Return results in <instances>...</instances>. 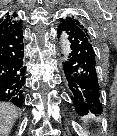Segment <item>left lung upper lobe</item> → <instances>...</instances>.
<instances>
[{
  "label": "left lung upper lobe",
  "instance_id": "5c2ea615",
  "mask_svg": "<svg viewBox=\"0 0 117 136\" xmlns=\"http://www.w3.org/2000/svg\"><path fill=\"white\" fill-rule=\"evenodd\" d=\"M67 20H68L69 23H71L72 25L81 28L82 30H84L86 33H88V34L90 35V33H89L88 29H87V26L85 25V23H84L82 20H80V19H78V18H76V17H74V16H72V17H67ZM90 36H91V35H90Z\"/></svg>",
  "mask_w": 117,
  "mask_h": 136
}]
</instances>
